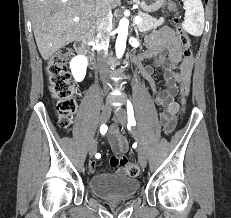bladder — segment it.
I'll return each mask as SVG.
<instances>
[{"instance_id":"31cf9c89","label":"bladder","mask_w":231,"mask_h":218,"mask_svg":"<svg viewBox=\"0 0 231 218\" xmlns=\"http://www.w3.org/2000/svg\"><path fill=\"white\" fill-rule=\"evenodd\" d=\"M91 192L103 199L124 200L133 197L140 188L138 179L129 176H94L89 180Z\"/></svg>"}]
</instances>
